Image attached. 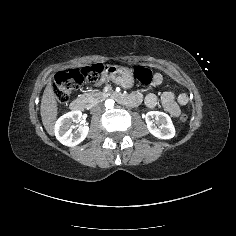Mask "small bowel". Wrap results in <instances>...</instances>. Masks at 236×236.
<instances>
[{
	"mask_svg": "<svg viewBox=\"0 0 236 236\" xmlns=\"http://www.w3.org/2000/svg\"><path fill=\"white\" fill-rule=\"evenodd\" d=\"M163 81V78L160 74H155L153 77V85L159 86ZM139 97L140 101L142 100V95L137 93L134 94ZM145 104L149 108H154L158 104V98L155 94L150 93L145 97ZM162 105L164 109L173 116H178L180 114V106L186 105L188 102V97L186 94H180L177 98L167 92L162 97Z\"/></svg>",
	"mask_w": 236,
	"mask_h": 236,
	"instance_id": "small-bowel-1",
	"label": "small bowel"
}]
</instances>
